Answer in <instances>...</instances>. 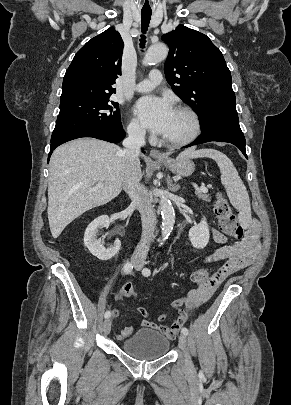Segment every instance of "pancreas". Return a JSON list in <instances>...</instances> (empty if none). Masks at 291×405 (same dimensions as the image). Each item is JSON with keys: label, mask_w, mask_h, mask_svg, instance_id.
<instances>
[{"label": "pancreas", "mask_w": 291, "mask_h": 405, "mask_svg": "<svg viewBox=\"0 0 291 405\" xmlns=\"http://www.w3.org/2000/svg\"><path fill=\"white\" fill-rule=\"evenodd\" d=\"M197 197L203 201L210 202V197L204 193H196Z\"/></svg>", "instance_id": "1"}]
</instances>
